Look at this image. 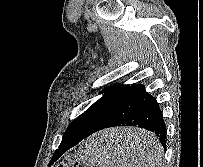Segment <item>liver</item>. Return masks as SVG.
Wrapping results in <instances>:
<instances>
[{"instance_id":"obj_1","label":"liver","mask_w":203,"mask_h":167,"mask_svg":"<svg viewBox=\"0 0 203 167\" xmlns=\"http://www.w3.org/2000/svg\"><path fill=\"white\" fill-rule=\"evenodd\" d=\"M147 132L136 128H114L102 132L101 135L108 136L113 141L112 153L117 160L125 162L124 167H139V151L136 146L141 137ZM115 142V144H114Z\"/></svg>"}]
</instances>
